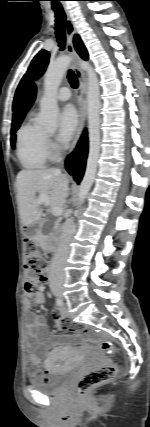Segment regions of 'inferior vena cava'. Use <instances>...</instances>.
Masks as SVG:
<instances>
[{
	"mask_svg": "<svg viewBox=\"0 0 150 427\" xmlns=\"http://www.w3.org/2000/svg\"><path fill=\"white\" fill-rule=\"evenodd\" d=\"M63 236L61 237L59 247L54 254L50 266L49 282L50 286H59L64 283V267L70 252V241L75 233V224L73 219H66L63 226Z\"/></svg>",
	"mask_w": 150,
	"mask_h": 427,
	"instance_id": "inferior-vena-cava-1",
	"label": "inferior vena cava"
}]
</instances>
